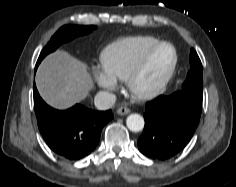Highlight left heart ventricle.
<instances>
[{"mask_svg": "<svg viewBox=\"0 0 236 187\" xmlns=\"http://www.w3.org/2000/svg\"><path fill=\"white\" fill-rule=\"evenodd\" d=\"M173 60V52L170 47L163 46L149 59L143 73L136 83L140 90H148L154 87L164 76Z\"/></svg>", "mask_w": 236, "mask_h": 187, "instance_id": "b2bd125f", "label": "left heart ventricle"}]
</instances>
